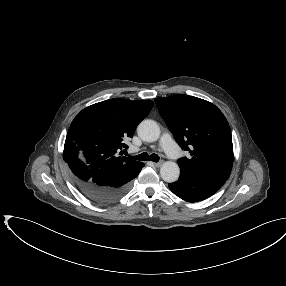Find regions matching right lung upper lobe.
<instances>
[{
	"instance_id": "obj_1",
	"label": "right lung upper lobe",
	"mask_w": 286,
	"mask_h": 286,
	"mask_svg": "<svg viewBox=\"0 0 286 286\" xmlns=\"http://www.w3.org/2000/svg\"><path fill=\"white\" fill-rule=\"evenodd\" d=\"M154 106L151 100L109 99L83 109L72 121L63 158L87 167L100 185L131 173L141 162L120 156L123 142ZM104 182V183H102Z\"/></svg>"
}]
</instances>
